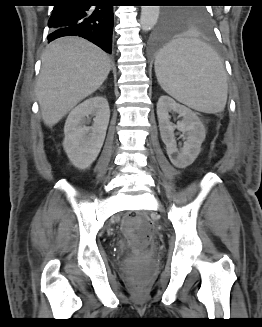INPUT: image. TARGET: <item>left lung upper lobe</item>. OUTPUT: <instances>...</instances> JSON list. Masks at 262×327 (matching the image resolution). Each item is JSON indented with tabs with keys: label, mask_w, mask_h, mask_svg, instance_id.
I'll return each instance as SVG.
<instances>
[{
	"label": "left lung upper lobe",
	"mask_w": 262,
	"mask_h": 327,
	"mask_svg": "<svg viewBox=\"0 0 262 327\" xmlns=\"http://www.w3.org/2000/svg\"><path fill=\"white\" fill-rule=\"evenodd\" d=\"M182 3H202L203 0H178ZM163 23L169 27H177L184 24H194L204 28L209 27V12L204 6H192L182 9H168L164 12Z\"/></svg>",
	"instance_id": "obj_1"
}]
</instances>
